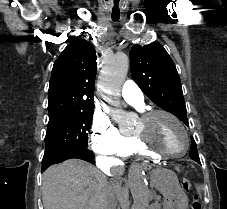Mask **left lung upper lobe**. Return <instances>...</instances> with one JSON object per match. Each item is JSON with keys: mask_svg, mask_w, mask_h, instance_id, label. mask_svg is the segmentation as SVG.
I'll return each mask as SVG.
<instances>
[{"mask_svg": "<svg viewBox=\"0 0 227 209\" xmlns=\"http://www.w3.org/2000/svg\"><path fill=\"white\" fill-rule=\"evenodd\" d=\"M131 74L146 96L174 114L188 126L180 77L164 47L158 42L130 50ZM190 157L200 163L196 143L191 138Z\"/></svg>", "mask_w": 227, "mask_h": 209, "instance_id": "obj_1", "label": "left lung upper lobe"}]
</instances>
